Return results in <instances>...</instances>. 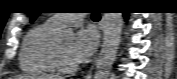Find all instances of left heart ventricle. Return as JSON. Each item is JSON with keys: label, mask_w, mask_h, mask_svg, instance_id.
<instances>
[{"label": "left heart ventricle", "mask_w": 177, "mask_h": 79, "mask_svg": "<svg viewBox=\"0 0 177 79\" xmlns=\"http://www.w3.org/2000/svg\"><path fill=\"white\" fill-rule=\"evenodd\" d=\"M79 25L78 24H73V25H70L68 27V29H76ZM60 53H61V56L63 58V60L65 61V63L67 64H75L73 62V60L71 59V56H70V50H71V47H72V43L71 42H65V43H62L60 45L57 46Z\"/></svg>", "instance_id": "left-heart-ventricle-1"}]
</instances>
